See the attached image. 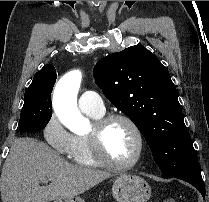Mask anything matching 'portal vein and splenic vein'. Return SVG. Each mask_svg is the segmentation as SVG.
Returning <instances> with one entry per match:
<instances>
[{
  "mask_svg": "<svg viewBox=\"0 0 209 202\" xmlns=\"http://www.w3.org/2000/svg\"><path fill=\"white\" fill-rule=\"evenodd\" d=\"M42 180H43V182H45V183L49 181L48 178H42Z\"/></svg>",
  "mask_w": 209,
  "mask_h": 202,
  "instance_id": "1",
  "label": "portal vein and splenic vein"
}]
</instances>
